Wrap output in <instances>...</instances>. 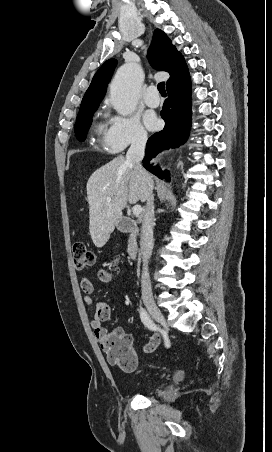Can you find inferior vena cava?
Here are the masks:
<instances>
[{"label":"inferior vena cava","instance_id":"602c4592","mask_svg":"<svg viewBox=\"0 0 272 452\" xmlns=\"http://www.w3.org/2000/svg\"><path fill=\"white\" fill-rule=\"evenodd\" d=\"M147 134L145 132L139 133L132 141L131 146L126 154L127 162L141 176L145 187L143 191V201H146V211L142 221L140 249L142 255V275H141V291L143 300H152V289L150 276L148 271L149 259L153 250V223H154V196H153V182L149 174L141 165L144 157L145 145L147 142Z\"/></svg>","mask_w":272,"mask_h":452}]
</instances>
